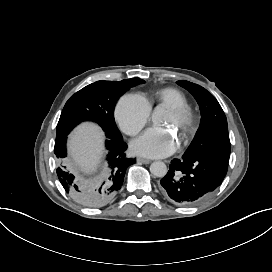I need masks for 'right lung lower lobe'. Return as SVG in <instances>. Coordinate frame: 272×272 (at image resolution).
<instances>
[{
	"label": "right lung lower lobe",
	"mask_w": 272,
	"mask_h": 272,
	"mask_svg": "<svg viewBox=\"0 0 272 272\" xmlns=\"http://www.w3.org/2000/svg\"><path fill=\"white\" fill-rule=\"evenodd\" d=\"M106 154L107 171L97 181H80L70 173L66 165L67 135L56 140L54 153L57 157V176L66 193L87 207H102L108 204L119 193L126 170L136 163V159L127 158L125 150L127 144L123 138L111 139L107 137Z\"/></svg>",
	"instance_id": "98d812e1"
}]
</instances>
